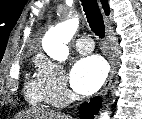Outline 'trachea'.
<instances>
[{
	"label": "trachea",
	"instance_id": "trachea-1",
	"mask_svg": "<svg viewBox=\"0 0 142 119\" xmlns=\"http://www.w3.org/2000/svg\"><path fill=\"white\" fill-rule=\"evenodd\" d=\"M91 30L100 38L105 35V25L96 0H81Z\"/></svg>",
	"mask_w": 142,
	"mask_h": 119
}]
</instances>
